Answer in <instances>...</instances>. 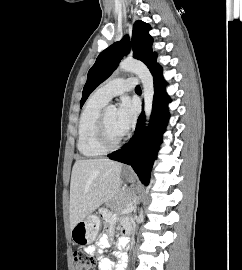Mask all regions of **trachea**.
Masks as SVG:
<instances>
[{
	"instance_id": "1",
	"label": "trachea",
	"mask_w": 242,
	"mask_h": 270,
	"mask_svg": "<svg viewBox=\"0 0 242 270\" xmlns=\"http://www.w3.org/2000/svg\"><path fill=\"white\" fill-rule=\"evenodd\" d=\"M135 91H136V92H141V88H140L139 85L135 88Z\"/></svg>"
}]
</instances>
